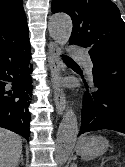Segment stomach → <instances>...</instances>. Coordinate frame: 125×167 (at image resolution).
I'll return each mask as SVG.
<instances>
[{"label":"stomach","mask_w":125,"mask_h":167,"mask_svg":"<svg viewBox=\"0 0 125 167\" xmlns=\"http://www.w3.org/2000/svg\"><path fill=\"white\" fill-rule=\"evenodd\" d=\"M109 142L102 136H89L79 140L77 152L84 160H90L104 154Z\"/></svg>","instance_id":"1"}]
</instances>
